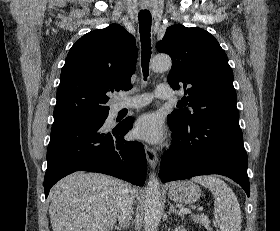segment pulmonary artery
I'll return each instance as SVG.
<instances>
[{"mask_svg": "<svg viewBox=\"0 0 280 231\" xmlns=\"http://www.w3.org/2000/svg\"><path fill=\"white\" fill-rule=\"evenodd\" d=\"M175 95V92L172 91V89L166 85V84H160L157 86L154 95L150 93H145L139 96V100L134 101L132 103H125L120 105V109H136L140 108L146 104H148L153 97H157L161 100H168L172 98Z\"/></svg>", "mask_w": 280, "mask_h": 231, "instance_id": "pulmonary-artery-1", "label": "pulmonary artery"}]
</instances>
